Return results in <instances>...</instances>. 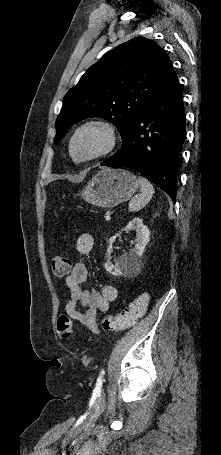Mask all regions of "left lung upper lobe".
<instances>
[{"instance_id": "left-lung-upper-lobe-1", "label": "left lung upper lobe", "mask_w": 221, "mask_h": 455, "mask_svg": "<svg viewBox=\"0 0 221 455\" xmlns=\"http://www.w3.org/2000/svg\"><path fill=\"white\" fill-rule=\"evenodd\" d=\"M172 72L169 57L155 42L135 37L120 44L66 93L54 142H59L74 123L88 117L111 121L124 140L137 115Z\"/></svg>"}]
</instances>
